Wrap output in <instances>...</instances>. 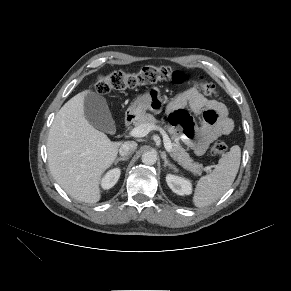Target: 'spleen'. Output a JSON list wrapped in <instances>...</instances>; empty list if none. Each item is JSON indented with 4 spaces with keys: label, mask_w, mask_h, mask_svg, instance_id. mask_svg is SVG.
I'll return each mask as SVG.
<instances>
[{
    "label": "spleen",
    "mask_w": 291,
    "mask_h": 291,
    "mask_svg": "<svg viewBox=\"0 0 291 291\" xmlns=\"http://www.w3.org/2000/svg\"><path fill=\"white\" fill-rule=\"evenodd\" d=\"M240 159V147L232 146L230 151L219 159L215 169L199 179L193 196L196 207L208 206L228 191L238 173Z\"/></svg>",
    "instance_id": "3e777b00"
}]
</instances>
